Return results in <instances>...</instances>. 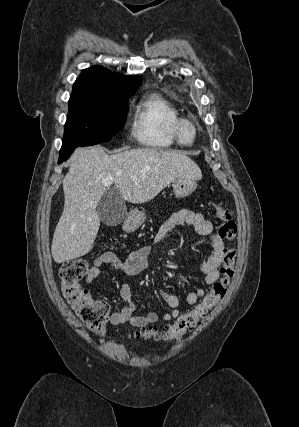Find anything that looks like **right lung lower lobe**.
Instances as JSON below:
<instances>
[{
	"label": "right lung lower lobe",
	"mask_w": 299,
	"mask_h": 427,
	"mask_svg": "<svg viewBox=\"0 0 299 427\" xmlns=\"http://www.w3.org/2000/svg\"><path fill=\"white\" fill-rule=\"evenodd\" d=\"M74 151V149L68 151V152H64V153H60L59 154V160H58V164L62 163L63 161H66L69 156L71 155V153Z\"/></svg>",
	"instance_id": "98d812e1"
}]
</instances>
